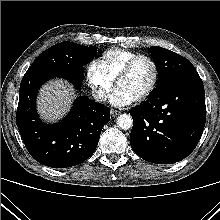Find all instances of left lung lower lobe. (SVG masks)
<instances>
[{
  "label": "left lung lower lobe",
  "instance_id": "left-lung-lower-lobe-1",
  "mask_svg": "<svg viewBox=\"0 0 220 220\" xmlns=\"http://www.w3.org/2000/svg\"><path fill=\"white\" fill-rule=\"evenodd\" d=\"M130 114V144L138 156L156 164L187 157L206 122L205 91L196 69L173 76Z\"/></svg>",
  "mask_w": 220,
  "mask_h": 220
}]
</instances>
